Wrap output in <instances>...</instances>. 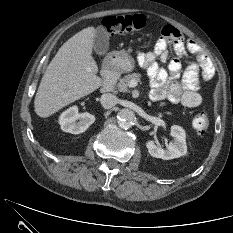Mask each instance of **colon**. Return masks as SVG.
Wrapping results in <instances>:
<instances>
[{"label": "colon", "mask_w": 233, "mask_h": 233, "mask_svg": "<svg viewBox=\"0 0 233 233\" xmlns=\"http://www.w3.org/2000/svg\"><path fill=\"white\" fill-rule=\"evenodd\" d=\"M148 23L143 15H118L108 16L103 19V26L110 35H122L142 30ZM210 124L206 112L197 114L192 122L193 128L198 133H204Z\"/></svg>", "instance_id": "5ec220e1"}]
</instances>
